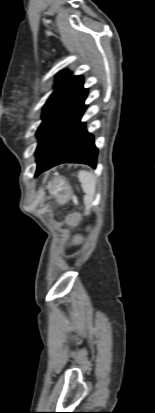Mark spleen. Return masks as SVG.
<instances>
[{"instance_id":"obj_1","label":"spleen","mask_w":155,"mask_h":413,"mask_svg":"<svg viewBox=\"0 0 155 413\" xmlns=\"http://www.w3.org/2000/svg\"><path fill=\"white\" fill-rule=\"evenodd\" d=\"M78 178L82 184L83 191L85 192V213L90 214L91 204L94 200L96 191V178L91 172L84 170L79 171Z\"/></svg>"}]
</instances>
